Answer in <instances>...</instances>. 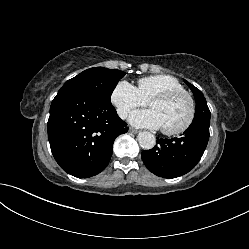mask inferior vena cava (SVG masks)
I'll list each match as a JSON object with an SVG mask.
<instances>
[{
  "instance_id": "602c4592",
  "label": "inferior vena cava",
  "mask_w": 249,
  "mask_h": 249,
  "mask_svg": "<svg viewBox=\"0 0 249 249\" xmlns=\"http://www.w3.org/2000/svg\"><path fill=\"white\" fill-rule=\"evenodd\" d=\"M120 118L125 119L127 117V112L126 111H119L118 112Z\"/></svg>"
}]
</instances>
